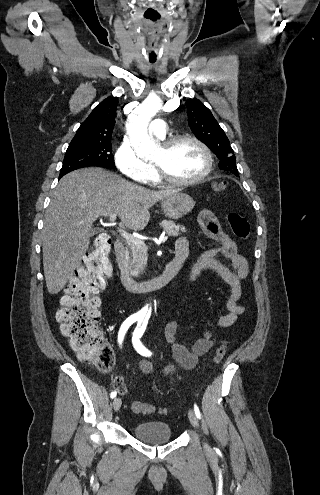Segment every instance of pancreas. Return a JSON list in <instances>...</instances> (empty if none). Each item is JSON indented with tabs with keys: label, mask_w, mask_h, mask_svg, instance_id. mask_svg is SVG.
Masks as SVG:
<instances>
[{
	"label": "pancreas",
	"mask_w": 320,
	"mask_h": 495,
	"mask_svg": "<svg viewBox=\"0 0 320 495\" xmlns=\"http://www.w3.org/2000/svg\"><path fill=\"white\" fill-rule=\"evenodd\" d=\"M161 226L169 236H178L180 232L185 233L184 226L175 224L171 220H164L161 222ZM147 263V247L145 245H128L125 252V259L123 261L124 269L132 276H138L143 271Z\"/></svg>",
	"instance_id": "pancreas-1"
}]
</instances>
